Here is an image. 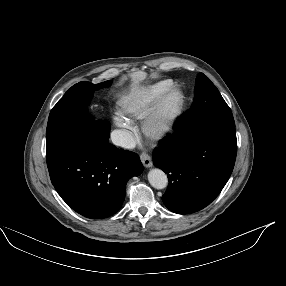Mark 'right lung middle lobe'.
I'll list each match as a JSON object with an SVG mask.
<instances>
[{
  "mask_svg": "<svg viewBox=\"0 0 286 286\" xmlns=\"http://www.w3.org/2000/svg\"><path fill=\"white\" fill-rule=\"evenodd\" d=\"M110 84L111 81L99 84L83 81L72 86L50 112L46 131L47 145L80 130L94 131L109 138V126L104 122H93L87 106L95 90Z\"/></svg>",
  "mask_w": 286,
  "mask_h": 286,
  "instance_id": "dd1d6c3e",
  "label": "right lung middle lobe"
}]
</instances>
